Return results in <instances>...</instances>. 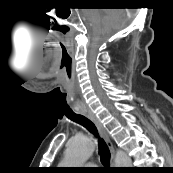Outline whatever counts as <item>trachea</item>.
<instances>
[{
	"mask_svg": "<svg viewBox=\"0 0 173 173\" xmlns=\"http://www.w3.org/2000/svg\"><path fill=\"white\" fill-rule=\"evenodd\" d=\"M69 118L73 122L85 127L88 131L93 133L96 137H99L96 126L86 116L81 115V114H74L73 116H70ZM99 155H100L101 163L105 167H109L110 151H109V148H108L106 142L102 138H99Z\"/></svg>",
	"mask_w": 173,
	"mask_h": 173,
	"instance_id": "trachea-1",
	"label": "trachea"
}]
</instances>
